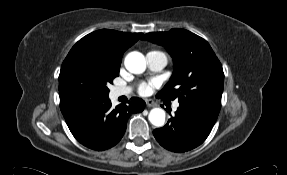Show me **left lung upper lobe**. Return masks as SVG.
Wrapping results in <instances>:
<instances>
[{
    "label": "left lung upper lobe",
    "instance_id": "5c2ea615",
    "mask_svg": "<svg viewBox=\"0 0 287 175\" xmlns=\"http://www.w3.org/2000/svg\"><path fill=\"white\" fill-rule=\"evenodd\" d=\"M142 40L165 47L174 61V72L159 92L160 97L178 98L187 107L215 124L221 109L224 73L209 43L184 29L147 33Z\"/></svg>",
    "mask_w": 287,
    "mask_h": 175
}]
</instances>
